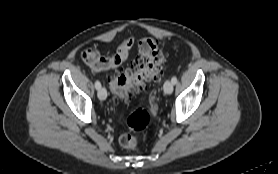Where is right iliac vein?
<instances>
[{"label":"right iliac vein","mask_w":278,"mask_h":174,"mask_svg":"<svg viewBox=\"0 0 278 174\" xmlns=\"http://www.w3.org/2000/svg\"><path fill=\"white\" fill-rule=\"evenodd\" d=\"M97 95H98V98L100 100H105L107 98V91H106V89L103 88V87L98 89Z\"/></svg>","instance_id":"63e3f726"}]
</instances>
